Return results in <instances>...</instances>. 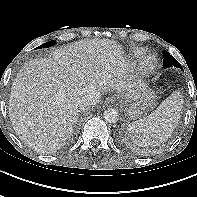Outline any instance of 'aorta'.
I'll return each mask as SVG.
<instances>
[{"mask_svg":"<svg viewBox=\"0 0 197 197\" xmlns=\"http://www.w3.org/2000/svg\"><path fill=\"white\" fill-rule=\"evenodd\" d=\"M103 117L108 123H116L118 121V112L113 108H108L104 111Z\"/></svg>","mask_w":197,"mask_h":197,"instance_id":"aorta-1","label":"aorta"}]
</instances>
